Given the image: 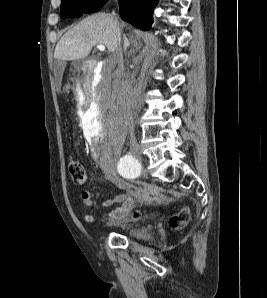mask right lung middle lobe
I'll return each mask as SVG.
<instances>
[{
    "label": "right lung middle lobe",
    "mask_w": 267,
    "mask_h": 298,
    "mask_svg": "<svg viewBox=\"0 0 267 298\" xmlns=\"http://www.w3.org/2000/svg\"><path fill=\"white\" fill-rule=\"evenodd\" d=\"M108 0H62L60 15L62 18L79 17L82 14L100 10Z\"/></svg>",
    "instance_id": "1"
}]
</instances>
